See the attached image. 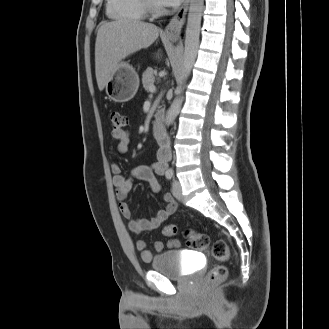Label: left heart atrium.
<instances>
[{
    "label": "left heart atrium",
    "mask_w": 329,
    "mask_h": 329,
    "mask_svg": "<svg viewBox=\"0 0 329 329\" xmlns=\"http://www.w3.org/2000/svg\"><path fill=\"white\" fill-rule=\"evenodd\" d=\"M161 4L164 6H177L181 2V0H160Z\"/></svg>",
    "instance_id": "39dd6f15"
}]
</instances>
